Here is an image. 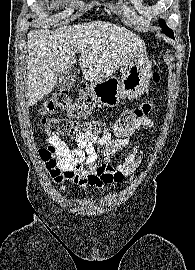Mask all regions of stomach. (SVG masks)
Segmentation results:
<instances>
[{
  "label": "stomach",
  "mask_w": 195,
  "mask_h": 270,
  "mask_svg": "<svg viewBox=\"0 0 195 270\" xmlns=\"http://www.w3.org/2000/svg\"><path fill=\"white\" fill-rule=\"evenodd\" d=\"M151 78V63L146 51L128 62L121 79L110 77L103 81L91 82V92L103 105L115 107L121 98L136 99L148 88Z\"/></svg>",
  "instance_id": "1"
}]
</instances>
